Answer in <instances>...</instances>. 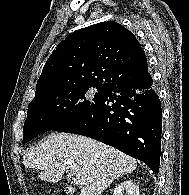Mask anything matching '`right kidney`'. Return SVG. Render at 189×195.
Wrapping results in <instances>:
<instances>
[{
  "mask_svg": "<svg viewBox=\"0 0 189 195\" xmlns=\"http://www.w3.org/2000/svg\"><path fill=\"white\" fill-rule=\"evenodd\" d=\"M124 191L128 195H140L139 186L132 182V180H126L119 184L113 191V195H123Z\"/></svg>",
  "mask_w": 189,
  "mask_h": 195,
  "instance_id": "1",
  "label": "right kidney"
}]
</instances>
